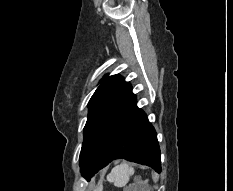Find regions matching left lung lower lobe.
<instances>
[{"label": "left lung lower lobe", "mask_w": 233, "mask_h": 191, "mask_svg": "<svg viewBox=\"0 0 233 191\" xmlns=\"http://www.w3.org/2000/svg\"><path fill=\"white\" fill-rule=\"evenodd\" d=\"M125 159L161 170L160 148L155 129L136 106L133 94L103 130L91 149L82 176L90 180L98 170L116 159Z\"/></svg>", "instance_id": "0a47b994"}]
</instances>
